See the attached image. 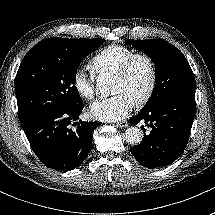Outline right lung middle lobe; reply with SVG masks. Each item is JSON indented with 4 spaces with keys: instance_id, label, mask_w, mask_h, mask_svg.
I'll list each match as a JSON object with an SVG mask.
<instances>
[{
    "instance_id": "dd1d6c3e",
    "label": "right lung middle lobe",
    "mask_w": 215,
    "mask_h": 215,
    "mask_svg": "<svg viewBox=\"0 0 215 215\" xmlns=\"http://www.w3.org/2000/svg\"><path fill=\"white\" fill-rule=\"evenodd\" d=\"M105 42L48 38L23 58L15 78L19 120L48 107L75 109L83 101L75 86L79 63Z\"/></svg>"
}]
</instances>
